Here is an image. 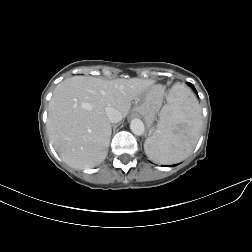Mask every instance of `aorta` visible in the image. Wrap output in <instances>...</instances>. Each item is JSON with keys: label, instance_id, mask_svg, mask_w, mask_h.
Instances as JSON below:
<instances>
[{"label": "aorta", "instance_id": "obj_1", "mask_svg": "<svg viewBox=\"0 0 252 252\" xmlns=\"http://www.w3.org/2000/svg\"><path fill=\"white\" fill-rule=\"evenodd\" d=\"M130 129L135 135H142L144 133V124L140 119H133L130 123Z\"/></svg>", "mask_w": 252, "mask_h": 252}]
</instances>
